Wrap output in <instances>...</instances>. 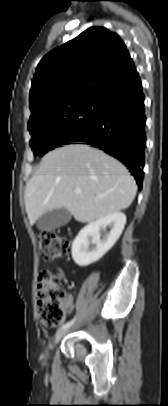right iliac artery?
Wrapping results in <instances>:
<instances>
[{
	"instance_id": "1",
	"label": "right iliac artery",
	"mask_w": 168,
	"mask_h": 406,
	"mask_svg": "<svg viewBox=\"0 0 168 406\" xmlns=\"http://www.w3.org/2000/svg\"><path fill=\"white\" fill-rule=\"evenodd\" d=\"M74 321H75V318L72 319L71 321H69V322L63 324V325L61 326V329L69 328V327L74 323Z\"/></svg>"
}]
</instances>
